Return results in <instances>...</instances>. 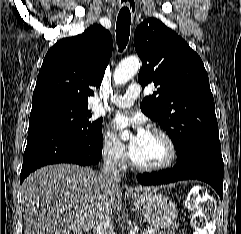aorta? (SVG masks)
Here are the masks:
<instances>
[{"label":"aorta","mask_w":241,"mask_h":234,"mask_svg":"<svg viewBox=\"0 0 241 234\" xmlns=\"http://www.w3.org/2000/svg\"><path fill=\"white\" fill-rule=\"evenodd\" d=\"M140 61L137 57H129L123 60L114 72V82L115 84H124L128 82L140 69ZM128 131L122 133V138L128 137Z\"/></svg>","instance_id":"obj_1"}]
</instances>
